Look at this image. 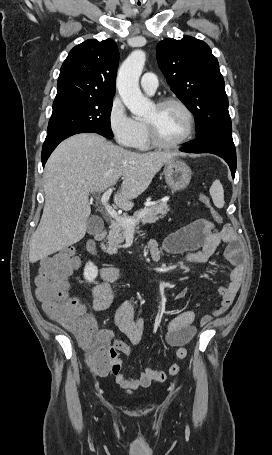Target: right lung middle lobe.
Returning <instances> with one entry per match:
<instances>
[{"label":"right lung middle lobe","mask_w":272,"mask_h":455,"mask_svg":"<svg viewBox=\"0 0 272 455\" xmlns=\"http://www.w3.org/2000/svg\"><path fill=\"white\" fill-rule=\"evenodd\" d=\"M112 99L113 97L76 98L54 101L47 136L69 130H88L112 138Z\"/></svg>","instance_id":"right-lung-middle-lobe-1"}]
</instances>
